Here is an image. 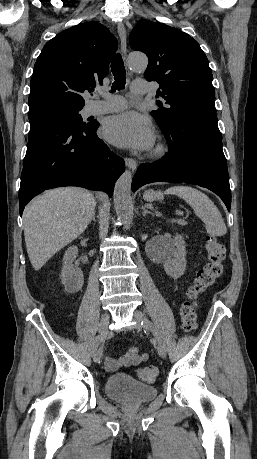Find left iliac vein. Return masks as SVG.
I'll list each match as a JSON object with an SVG mask.
<instances>
[{"label": "left iliac vein", "instance_id": "4c4485c4", "mask_svg": "<svg viewBox=\"0 0 257 459\" xmlns=\"http://www.w3.org/2000/svg\"><path fill=\"white\" fill-rule=\"evenodd\" d=\"M133 319L136 322L135 326L137 330L141 331L143 328L146 327L141 324L142 321H145V322L148 321L147 317L145 316L143 312L138 311V310L134 311ZM156 348H157L159 355L162 358H165L166 357V347H165V344L160 339L156 341Z\"/></svg>", "mask_w": 257, "mask_h": 459}]
</instances>
